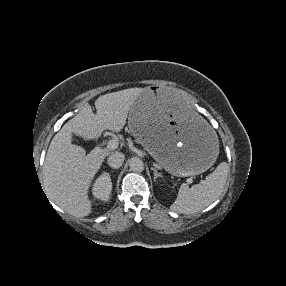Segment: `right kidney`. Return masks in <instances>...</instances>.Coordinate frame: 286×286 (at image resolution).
<instances>
[{
  "mask_svg": "<svg viewBox=\"0 0 286 286\" xmlns=\"http://www.w3.org/2000/svg\"><path fill=\"white\" fill-rule=\"evenodd\" d=\"M112 190V182L108 173L101 174L93 185V195L103 201L109 199Z\"/></svg>",
  "mask_w": 286,
  "mask_h": 286,
  "instance_id": "1",
  "label": "right kidney"
}]
</instances>
